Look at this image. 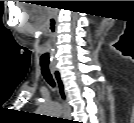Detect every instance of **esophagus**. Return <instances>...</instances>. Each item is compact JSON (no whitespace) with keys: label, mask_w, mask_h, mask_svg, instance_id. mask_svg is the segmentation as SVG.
Segmentation results:
<instances>
[{"label":"esophagus","mask_w":134,"mask_h":123,"mask_svg":"<svg viewBox=\"0 0 134 123\" xmlns=\"http://www.w3.org/2000/svg\"><path fill=\"white\" fill-rule=\"evenodd\" d=\"M49 67H50L51 74H52L54 81L56 83V86H57L59 98L64 106V114L62 115V118L68 119L70 117V107L68 104V96H67V93L65 90L64 82L61 77V73L58 70V68H56L52 65H50Z\"/></svg>","instance_id":"obj_1"}]
</instances>
